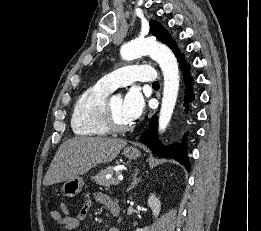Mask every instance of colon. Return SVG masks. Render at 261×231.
I'll return each instance as SVG.
<instances>
[{
	"instance_id": "5ec220e1",
	"label": "colon",
	"mask_w": 261,
	"mask_h": 231,
	"mask_svg": "<svg viewBox=\"0 0 261 231\" xmlns=\"http://www.w3.org/2000/svg\"><path fill=\"white\" fill-rule=\"evenodd\" d=\"M61 211H62V212H68V206H67L65 203H63V204L61 205Z\"/></svg>"
}]
</instances>
